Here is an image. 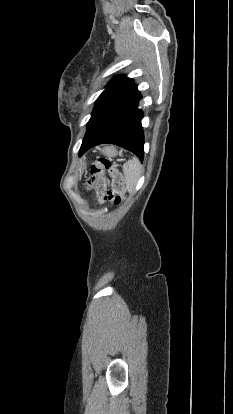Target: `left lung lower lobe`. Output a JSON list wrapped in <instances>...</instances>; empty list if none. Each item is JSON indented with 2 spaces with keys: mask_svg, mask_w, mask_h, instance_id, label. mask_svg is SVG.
<instances>
[{
  "mask_svg": "<svg viewBox=\"0 0 233 414\" xmlns=\"http://www.w3.org/2000/svg\"><path fill=\"white\" fill-rule=\"evenodd\" d=\"M141 95L135 84L96 101L79 154L103 143L132 151L142 161L144 134L143 112L137 109Z\"/></svg>",
  "mask_w": 233,
  "mask_h": 414,
  "instance_id": "left-lung-lower-lobe-1",
  "label": "left lung lower lobe"
}]
</instances>
